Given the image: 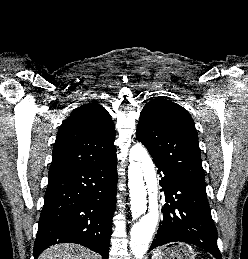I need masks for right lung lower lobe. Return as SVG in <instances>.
<instances>
[{"instance_id":"1","label":"right lung lower lobe","mask_w":248,"mask_h":259,"mask_svg":"<svg viewBox=\"0 0 248 259\" xmlns=\"http://www.w3.org/2000/svg\"><path fill=\"white\" fill-rule=\"evenodd\" d=\"M117 158L49 174L34 259L56 243H77L108 259L116 206Z\"/></svg>"}]
</instances>
